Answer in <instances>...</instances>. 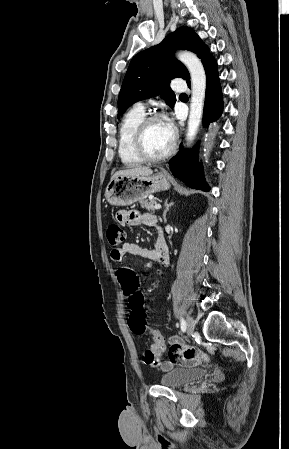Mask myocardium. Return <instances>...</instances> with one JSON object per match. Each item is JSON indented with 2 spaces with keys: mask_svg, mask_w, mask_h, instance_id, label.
<instances>
[{
  "mask_svg": "<svg viewBox=\"0 0 289 449\" xmlns=\"http://www.w3.org/2000/svg\"><path fill=\"white\" fill-rule=\"evenodd\" d=\"M157 121H164L165 119L161 114H152L149 116H146L142 122L139 124V126L136 129L135 135H134V149L136 154L143 160L147 162H159L162 160H165L169 158L176 150L177 148V135L173 131V140L170 148L162 155L159 156H153L149 154L145 147V134L148 129V127Z\"/></svg>",
  "mask_w": 289,
  "mask_h": 449,
  "instance_id": "obj_1",
  "label": "myocardium"
}]
</instances>
